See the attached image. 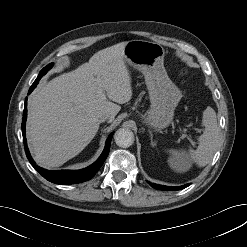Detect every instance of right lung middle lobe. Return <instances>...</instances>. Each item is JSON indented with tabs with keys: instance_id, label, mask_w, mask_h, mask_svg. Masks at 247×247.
Returning <instances> with one entry per match:
<instances>
[{
	"instance_id": "right-lung-middle-lobe-1",
	"label": "right lung middle lobe",
	"mask_w": 247,
	"mask_h": 247,
	"mask_svg": "<svg viewBox=\"0 0 247 247\" xmlns=\"http://www.w3.org/2000/svg\"><path fill=\"white\" fill-rule=\"evenodd\" d=\"M52 65H53V63H50L49 65H47L46 67H44L41 71H40V73H39V75H38V77H37V79L36 80H39L51 67H52Z\"/></svg>"
}]
</instances>
